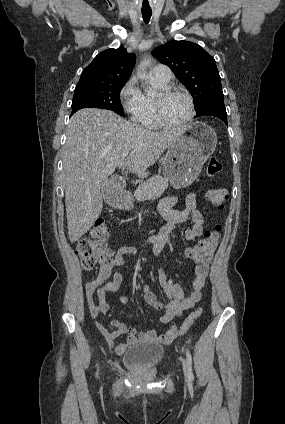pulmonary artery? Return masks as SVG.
<instances>
[{
    "mask_svg": "<svg viewBox=\"0 0 285 424\" xmlns=\"http://www.w3.org/2000/svg\"><path fill=\"white\" fill-rule=\"evenodd\" d=\"M153 77L156 81L167 85L172 79V72L166 65H156L152 69Z\"/></svg>",
    "mask_w": 285,
    "mask_h": 424,
    "instance_id": "e3ab8cb5",
    "label": "pulmonary artery"
}]
</instances>
